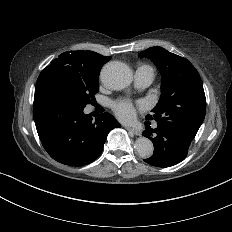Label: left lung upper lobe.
I'll use <instances>...</instances> for the list:
<instances>
[{"label":"left lung upper lobe","mask_w":232,"mask_h":232,"mask_svg":"<svg viewBox=\"0 0 232 232\" xmlns=\"http://www.w3.org/2000/svg\"><path fill=\"white\" fill-rule=\"evenodd\" d=\"M140 56L151 59L162 75L161 97L152 110L159 125L193 140L206 112V99L198 71L185 58L162 47H151ZM150 115L147 119H151Z\"/></svg>","instance_id":"obj_1"}]
</instances>
